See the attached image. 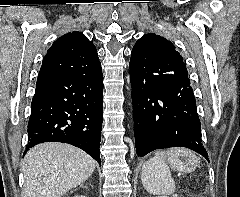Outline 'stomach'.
Segmentation results:
<instances>
[{
  "mask_svg": "<svg viewBox=\"0 0 240 197\" xmlns=\"http://www.w3.org/2000/svg\"><path fill=\"white\" fill-rule=\"evenodd\" d=\"M198 161L194 158H185V157H179L176 162L172 163L171 165L182 172L188 173L195 170L197 167Z\"/></svg>",
  "mask_w": 240,
  "mask_h": 197,
  "instance_id": "1",
  "label": "stomach"
}]
</instances>
